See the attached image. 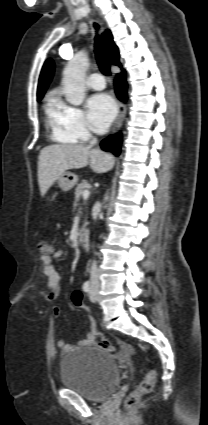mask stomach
I'll use <instances>...</instances> for the list:
<instances>
[{"label": "stomach", "mask_w": 208, "mask_h": 425, "mask_svg": "<svg viewBox=\"0 0 208 425\" xmlns=\"http://www.w3.org/2000/svg\"><path fill=\"white\" fill-rule=\"evenodd\" d=\"M58 185L62 191L67 192L74 188L78 182V176L74 173L67 172L62 174L58 179Z\"/></svg>", "instance_id": "obj_1"}]
</instances>
